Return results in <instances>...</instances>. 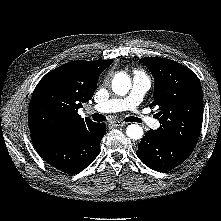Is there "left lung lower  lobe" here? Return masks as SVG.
Instances as JSON below:
<instances>
[{"label": "left lung lower lobe", "mask_w": 221, "mask_h": 221, "mask_svg": "<svg viewBox=\"0 0 221 221\" xmlns=\"http://www.w3.org/2000/svg\"><path fill=\"white\" fill-rule=\"evenodd\" d=\"M193 149L159 138L154 130L146 132L137 150L138 158L149 168L166 171L185 161Z\"/></svg>", "instance_id": "obj_1"}]
</instances>
